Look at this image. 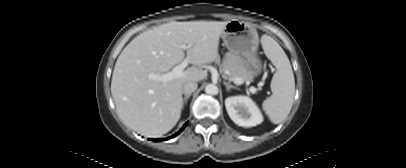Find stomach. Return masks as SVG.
I'll list each match as a JSON object with an SVG mask.
<instances>
[{
  "label": "stomach",
  "mask_w": 406,
  "mask_h": 168,
  "mask_svg": "<svg viewBox=\"0 0 406 168\" xmlns=\"http://www.w3.org/2000/svg\"><path fill=\"white\" fill-rule=\"evenodd\" d=\"M222 39L231 54L243 63L248 73L252 76L261 73L262 63L257 55L259 37L252 25L231 20L222 33Z\"/></svg>",
  "instance_id": "stomach-1"
}]
</instances>
